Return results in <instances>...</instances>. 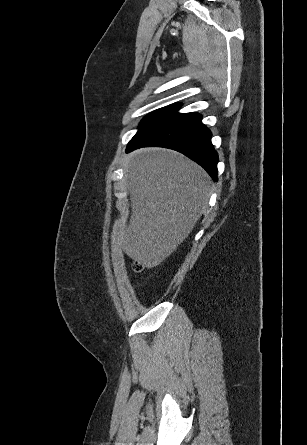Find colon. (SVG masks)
I'll use <instances>...</instances> for the list:
<instances>
[{
  "instance_id": "1",
  "label": "colon",
  "mask_w": 307,
  "mask_h": 445,
  "mask_svg": "<svg viewBox=\"0 0 307 445\" xmlns=\"http://www.w3.org/2000/svg\"><path fill=\"white\" fill-rule=\"evenodd\" d=\"M133 269H134V271H136V272H140V271L143 270V266H142L141 263H139V262H135V263L133 264Z\"/></svg>"
}]
</instances>
